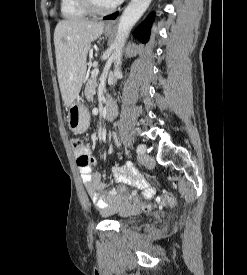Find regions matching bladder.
I'll return each instance as SVG.
<instances>
[{"mask_svg": "<svg viewBox=\"0 0 247 275\" xmlns=\"http://www.w3.org/2000/svg\"><path fill=\"white\" fill-rule=\"evenodd\" d=\"M136 215H137V212L133 209H130L121 218L118 219V222L121 225L128 226L135 221Z\"/></svg>", "mask_w": 247, "mask_h": 275, "instance_id": "obj_1", "label": "bladder"}]
</instances>
